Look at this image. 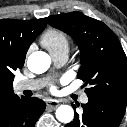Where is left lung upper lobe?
I'll return each mask as SVG.
<instances>
[{
	"instance_id": "5c2ea615",
	"label": "left lung upper lobe",
	"mask_w": 127,
	"mask_h": 127,
	"mask_svg": "<svg viewBox=\"0 0 127 127\" xmlns=\"http://www.w3.org/2000/svg\"><path fill=\"white\" fill-rule=\"evenodd\" d=\"M51 26L69 34L80 48L78 78L88 97L127 101V57L116 35L101 21L80 12L49 18Z\"/></svg>"
}]
</instances>
